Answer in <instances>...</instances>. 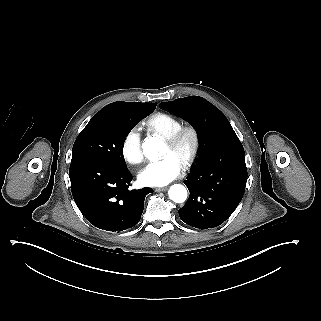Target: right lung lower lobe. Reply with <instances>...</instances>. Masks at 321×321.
<instances>
[{
  "label": "right lung lower lobe",
  "instance_id": "98d812e1",
  "mask_svg": "<svg viewBox=\"0 0 321 321\" xmlns=\"http://www.w3.org/2000/svg\"><path fill=\"white\" fill-rule=\"evenodd\" d=\"M72 195L86 219L99 229L123 231L135 226L153 190H128L132 175L127 167L90 159L71 161Z\"/></svg>",
  "mask_w": 321,
  "mask_h": 321
}]
</instances>
